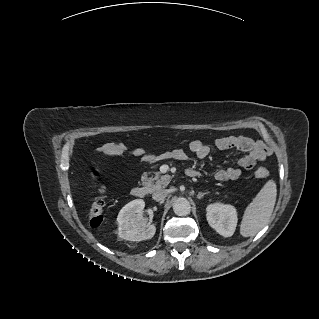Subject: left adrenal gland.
<instances>
[{
  "mask_svg": "<svg viewBox=\"0 0 319 319\" xmlns=\"http://www.w3.org/2000/svg\"><path fill=\"white\" fill-rule=\"evenodd\" d=\"M206 194H208V192H203V193H202V192H199L198 195H197V198H198V199H201V198H202L204 195H206Z\"/></svg>",
  "mask_w": 319,
  "mask_h": 319,
  "instance_id": "obj_1",
  "label": "left adrenal gland"
}]
</instances>
